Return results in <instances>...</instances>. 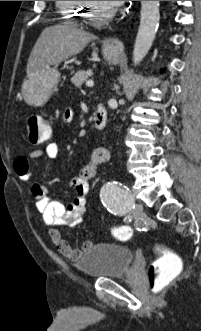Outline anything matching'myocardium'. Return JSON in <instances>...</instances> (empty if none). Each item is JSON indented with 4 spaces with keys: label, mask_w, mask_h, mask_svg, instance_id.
<instances>
[{
    "label": "myocardium",
    "mask_w": 201,
    "mask_h": 331,
    "mask_svg": "<svg viewBox=\"0 0 201 331\" xmlns=\"http://www.w3.org/2000/svg\"><path fill=\"white\" fill-rule=\"evenodd\" d=\"M92 8H93V1H86V9L84 10L83 18L87 23L91 25H102L115 15V10L111 9L110 11L104 13L99 17H94L92 16L91 13Z\"/></svg>",
    "instance_id": "f54148a6"
}]
</instances>
